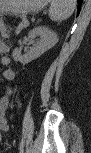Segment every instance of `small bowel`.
<instances>
[{
  "instance_id": "c3829d8e",
  "label": "small bowel",
  "mask_w": 91,
  "mask_h": 153,
  "mask_svg": "<svg viewBox=\"0 0 91 153\" xmlns=\"http://www.w3.org/2000/svg\"><path fill=\"white\" fill-rule=\"evenodd\" d=\"M6 104H7V100L4 99L3 102H2V106L5 107ZM2 129L5 130V131L8 129V126L6 125L5 122L2 123Z\"/></svg>"
}]
</instances>
